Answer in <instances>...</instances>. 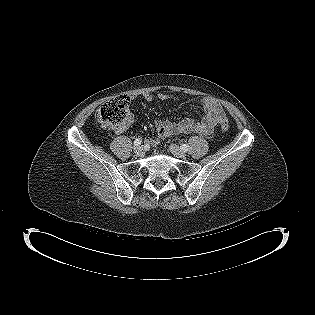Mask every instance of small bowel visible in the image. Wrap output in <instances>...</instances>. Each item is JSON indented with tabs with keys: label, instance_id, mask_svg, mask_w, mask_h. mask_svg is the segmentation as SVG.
Masks as SVG:
<instances>
[{
	"label": "small bowel",
	"instance_id": "small-bowel-1",
	"mask_svg": "<svg viewBox=\"0 0 315 315\" xmlns=\"http://www.w3.org/2000/svg\"><path fill=\"white\" fill-rule=\"evenodd\" d=\"M157 97L162 101L176 99L175 97L165 93H159ZM143 99L146 102H152L154 100V95L145 93L143 94ZM199 105L203 112V116L200 120L193 118H186L177 122L163 121L160 119L155 120L154 124L157 134L155 137L148 138L147 143L155 145L160 139L177 134L199 133L210 135L217 125L226 120L222 106L215 99L203 97L200 99ZM124 129L118 130V132H121Z\"/></svg>",
	"mask_w": 315,
	"mask_h": 315
}]
</instances>
